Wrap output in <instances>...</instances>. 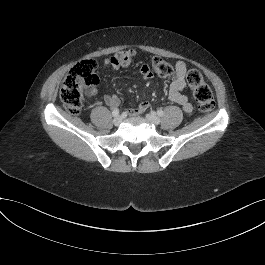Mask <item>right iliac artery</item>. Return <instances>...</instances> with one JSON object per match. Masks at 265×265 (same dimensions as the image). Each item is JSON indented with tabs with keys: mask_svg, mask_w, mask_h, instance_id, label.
<instances>
[{
	"mask_svg": "<svg viewBox=\"0 0 265 265\" xmlns=\"http://www.w3.org/2000/svg\"><path fill=\"white\" fill-rule=\"evenodd\" d=\"M119 115V110L117 108L113 109L112 116L117 117Z\"/></svg>",
	"mask_w": 265,
	"mask_h": 265,
	"instance_id": "82829eb1",
	"label": "right iliac artery"
}]
</instances>
